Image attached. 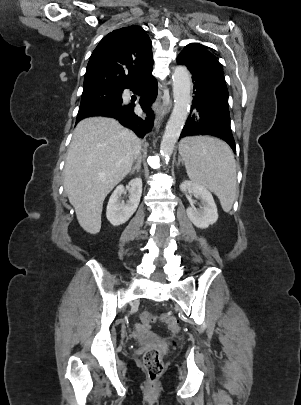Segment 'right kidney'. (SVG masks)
<instances>
[{"label":"right kidney","mask_w":301,"mask_h":405,"mask_svg":"<svg viewBox=\"0 0 301 405\" xmlns=\"http://www.w3.org/2000/svg\"><path fill=\"white\" fill-rule=\"evenodd\" d=\"M129 186L130 199L126 204L123 201L121 202V196L124 193L123 185L117 186L109 199L106 216L113 226H119L128 221L138 208L142 194L141 178L132 179L129 182Z\"/></svg>","instance_id":"ca27d5eb"}]
</instances>
